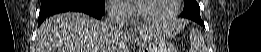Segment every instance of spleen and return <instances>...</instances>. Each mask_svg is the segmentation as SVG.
Here are the masks:
<instances>
[{
    "instance_id": "obj_1",
    "label": "spleen",
    "mask_w": 261,
    "mask_h": 52,
    "mask_svg": "<svg viewBox=\"0 0 261 52\" xmlns=\"http://www.w3.org/2000/svg\"><path fill=\"white\" fill-rule=\"evenodd\" d=\"M199 35V32L196 30V29H192L191 31H190V36H193V35Z\"/></svg>"
}]
</instances>
